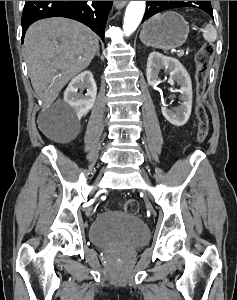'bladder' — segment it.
Wrapping results in <instances>:
<instances>
[{"mask_svg": "<svg viewBox=\"0 0 237 300\" xmlns=\"http://www.w3.org/2000/svg\"><path fill=\"white\" fill-rule=\"evenodd\" d=\"M148 236L143 220L121 211L98 214L89 229V238L98 247L139 246L147 241Z\"/></svg>", "mask_w": 237, "mask_h": 300, "instance_id": "31cf9c89", "label": "bladder"}]
</instances>
